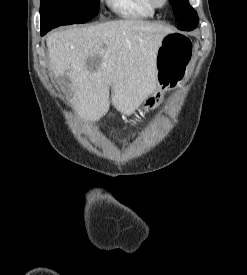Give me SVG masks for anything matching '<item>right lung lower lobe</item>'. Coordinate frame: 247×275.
I'll list each match as a JSON object with an SVG mask.
<instances>
[{
  "mask_svg": "<svg viewBox=\"0 0 247 275\" xmlns=\"http://www.w3.org/2000/svg\"><path fill=\"white\" fill-rule=\"evenodd\" d=\"M48 31L47 30H44V29H41V35L43 36L44 34H46Z\"/></svg>",
  "mask_w": 247,
  "mask_h": 275,
  "instance_id": "right-lung-lower-lobe-1",
  "label": "right lung lower lobe"
}]
</instances>
